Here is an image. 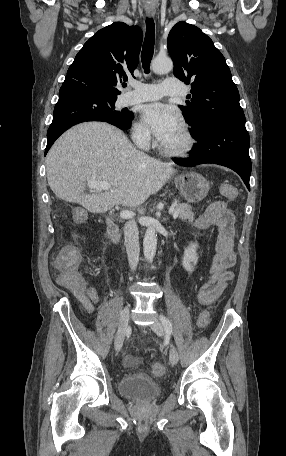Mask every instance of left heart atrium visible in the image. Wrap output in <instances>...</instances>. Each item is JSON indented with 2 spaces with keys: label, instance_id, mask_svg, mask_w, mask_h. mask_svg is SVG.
Masks as SVG:
<instances>
[{
  "label": "left heart atrium",
  "instance_id": "obj_1",
  "mask_svg": "<svg viewBox=\"0 0 286 456\" xmlns=\"http://www.w3.org/2000/svg\"><path fill=\"white\" fill-rule=\"evenodd\" d=\"M142 118L157 140L164 144L180 129L175 109L162 103H151L142 107Z\"/></svg>",
  "mask_w": 286,
  "mask_h": 456
}]
</instances>
